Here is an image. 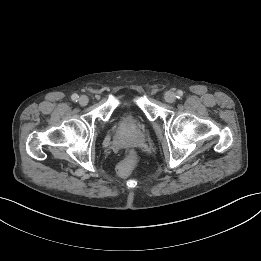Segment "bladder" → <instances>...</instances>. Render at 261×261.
<instances>
[{
	"label": "bladder",
	"instance_id": "31cf9c89",
	"mask_svg": "<svg viewBox=\"0 0 261 261\" xmlns=\"http://www.w3.org/2000/svg\"><path fill=\"white\" fill-rule=\"evenodd\" d=\"M122 124H123L124 126H130V125H131V123H130L129 121H123Z\"/></svg>",
	"mask_w": 261,
	"mask_h": 261
}]
</instances>
